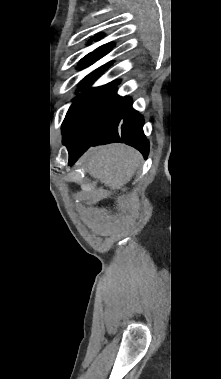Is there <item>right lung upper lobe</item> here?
Here are the masks:
<instances>
[{"label":"right lung upper lobe","mask_w":221,"mask_h":379,"mask_svg":"<svg viewBox=\"0 0 221 379\" xmlns=\"http://www.w3.org/2000/svg\"><path fill=\"white\" fill-rule=\"evenodd\" d=\"M112 46H113V44H111V43H108V44L100 46L99 48H97L96 50H94L92 53H89L87 56H85L81 60V62L79 63V67L83 68V67H87V66L91 65L92 63H94L95 61H97L98 59H100L101 57H103L104 55H106L111 50ZM109 66H110V64L103 65L102 67L96 69L94 72H92L91 74H89L84 79L83 85H87V84L91 83V81L93 79H95L96 77H98ZM113 83H116V82H113Z\"/></svg>","instance_id":"obj_1"}]
</instances>
